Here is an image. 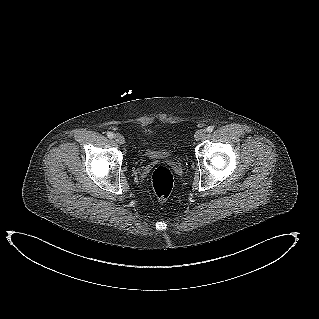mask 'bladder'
Masks as SVG:
<instances>
[{"instance_id": "obj_1", "label": "bladder", "mask_w": 319, "mask_h": 319, "mask_svg": "<svg viewBox=\"0 0 319 319\" xmlns=\"http://www.w3.org/2000/svg\"><path fill=\"white\" fill-rule=\"evenodd\" d=\"M143 155L147 158H157V157H166L169 155L166 151H157L153 149H145Z\"/></svg>"}]
</instances>
